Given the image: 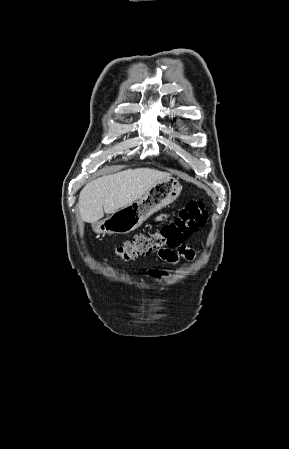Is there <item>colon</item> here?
<instances>
[{"label": "colon", "mask_w": 289, "mask_h": 449, "mask_svg": "<svg viewBox=\"0 0 289 449\" xmlns=\"http://www.w3.org/2000/svg\"><path fill=\"white\" fill-rule=\"evenodd\" d=\"M208 219L203 201H190L180 210L178 216L156 232L136 235L116 247V254L123 260L146 256L155 250L177 248ZM150 277H161V268H150Z\"/></svg>", "instance_id": "colon-1"}]
</instances>
